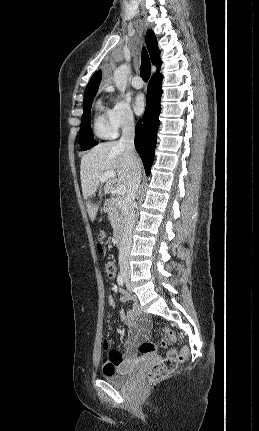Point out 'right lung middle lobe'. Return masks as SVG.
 Listing matches in <instances>:
<instances>
[{
    "mask_svg": "<svg viewBox=\"0 0 259 431\" xmlns=\"http://www.w3.org/2000/svg\"><path fill=\"white\" fill-rule=\"evenodd\" d=\"M95 94L96 92L84 94V100H83L84 112L82 115L80 135H79L80 145L83 151L88 150L93 146L97 145V142L93 138L91 125H90V116H91L90 109H91V105Z\"/></svg>",
    "mask_w": 259,
    "mask_h": 431,
    "instance_id": "obj_1",
    "label": "right lung middle lobe"
}]
</instances>
